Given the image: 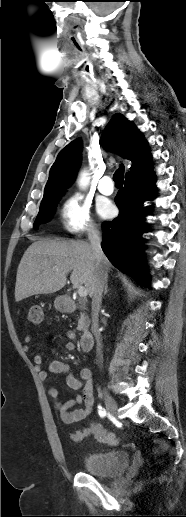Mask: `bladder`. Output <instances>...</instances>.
Returning <instances> with one entry per match:
<instances>
[{
    "label": "bladder",
    "instance_id": "31cf9c89",
    "mask_svg": "<svg viewBox=\"0 0 186 517\" xmlns=\"http://www.w3.org/2000/svg\"><path fill=\"white\" fill-rule=\"evenodd\" d=\"M130 461L127 451L91 453L83 460L84 469L91 475L112 478L122 474Z\"/></svg>",
    "mask_w": 186,
    "mask_h": 517
}]
</instances>
